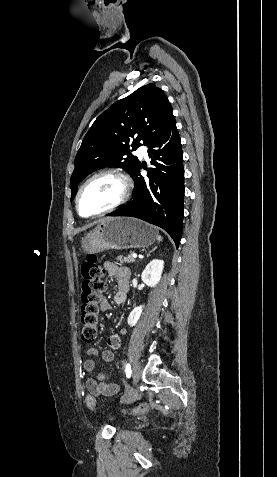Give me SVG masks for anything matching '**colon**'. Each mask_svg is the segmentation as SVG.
Listing matches in <instances>:
<instances>
[{"instance_id":"1","label":"colon","mask_w":277,"mask_h":477,"mask_svg":"<svg viewBox=\"0 0 277 477\" xmlns=\"http://www.w3.org/2000/svg\"><path fill=\"white\" fill-rule=\"evenodd\" d=\"M105 270L99 265L95 255H88L81 267V293H80V323L81 338L85 343H93L98 336V315L101 303L104 300L103 292L105 282L103 280ZM86 405L90 410L96 409V399L89 394L86 397ZM147 409L146 405H139L129 410L126 414H138Z\"/></svg>"}]
</instances>
